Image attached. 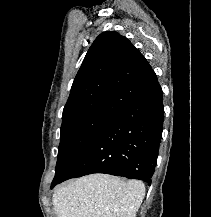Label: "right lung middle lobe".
I'll return each mask as SVG.
<instances>
[{
	"label": "right lung middle lobe",
	"mask_w": 211,
	"mask_h": 217,
	"mask_svg": "<svg viewBox=\"0 0 211 217\" xmlns=\"http://www.w3.org/2000/svg\"><path fill=\"white\" fill-rule=\"evenodd\" d=\"M116 115L113 112H96L62 123L54 179H59L68 172Z\"/></svg>",
	"instance_id": "dd1d6c3e"
}]
</instances>
